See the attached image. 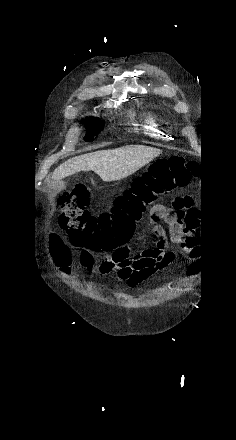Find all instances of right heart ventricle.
Returning a JSON list of instances; mask_svg holds the SVG:
<instances>
[{
    "label": "right heart ventricle",
    "instance_id": "1",
    "mask_svg": "<svg viewBox=\"0 0 236 440\" xmlns=\"http://www.w3.org/2000/svg\"><path fill=\"white\" fill-rule=\"evenodd\" d=\"M135 120V117H132ZM139 121L142 123L136 130L141 131L146 136L156 139L165 140L168 137L170 122L168 118L160 111L145 108L141 110Z\"/></svg>",
    "mask_w": 236,
    "mask_h": 440
}]
</instances>
